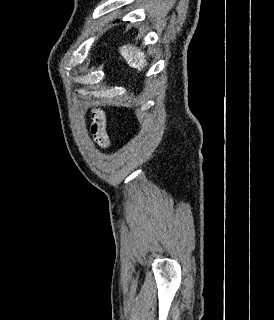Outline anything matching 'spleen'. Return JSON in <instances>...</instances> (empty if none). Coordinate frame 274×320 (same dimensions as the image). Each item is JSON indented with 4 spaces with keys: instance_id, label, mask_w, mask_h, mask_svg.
Returning <instances> with one entry per match:
<instances>
[{
    "instance_id": "obj_1",
    "label": "spleen",
    "mask_w": 274,
    "mask_h": 320,
    "mask_svg": "<svg viewBox=\"0 0 274 320\" xmlns=\"http://www.w3.org/2000/svg\"><path fill=\"white\" fill-rule=\"evenodd\" d=\"M119 50L121 56H123L130 68H136V70L141 72V70H144L145 66H147V60L144 52L137 50V48H132L131 44L121 46Z\"/></svg>"
}]
</instances>
